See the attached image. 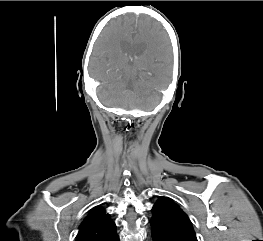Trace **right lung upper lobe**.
<instances>
[{
    "instance_id": "1",
    "label": "right lung upper lobe",
    "mask_w": 263,
    "mask_h": 241,
    "mask_svg": "<svg viewBox=\"0 0 263 241\" xmlns=\"http://www.w3.org/2000/svg\"><path fill=\"white\" fill-rule=\"evenodd\" d=\"M116 225L101 207L93 208L79 226L76 241H115Z\"/></svg>"
}]
</instances>
